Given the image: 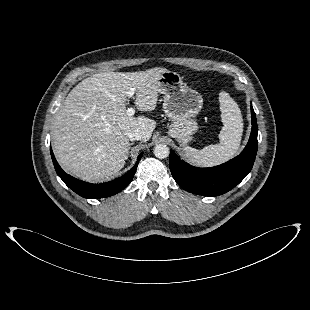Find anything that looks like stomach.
Returning <instances> with one entry per match:
<instances>
[{
  "label": "stomach",
  "instance_id": "0dacf381",
  "mask_svg": "<svg viewBox=\"0 0 310 310\" xmlns=\"http://www.w3.org/2000/svg\"><path fill=\"white\" fill-rule=\"evenodd\" d=\"M159 92L164 95L163 110L171 119L168 134L181 146H186L197 132L196 115L203 106L200 93L187 86L182 77L173 71L160 76Z\"/></svg>",
  "mask_w": 310,
  "mask_h": 310
}]
</instances>
